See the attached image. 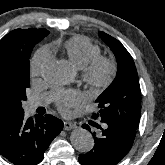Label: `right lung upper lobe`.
I'll list each match as a JSON object with an SVG mask.
<instances>
[{"instance_id": "obj_1", "label": "right lung upper lobe", "mask_w": 165, "mask_h": 165, "mask_svg": "<svg viewBox=\"0 0 165 165\" xmlns=\"http://www.w3.org/2000/svg\"><path fill=\"white\" fill-rule=\"evenodd\" d=\"M46 29H16L4 36L0 40V49L10 48L20 42L23 38H28L33 35H48ZM12 115L0 108V121H3Z\"/></svg>"}]
</instances>
